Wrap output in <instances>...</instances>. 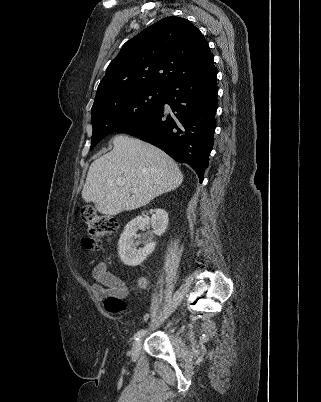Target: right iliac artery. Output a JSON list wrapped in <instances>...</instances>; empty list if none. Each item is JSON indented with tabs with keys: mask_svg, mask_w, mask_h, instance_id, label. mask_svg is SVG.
<instances>
[{
	"mask_svg": "<svg viewBox=\"0 0 321 402\" xmlns=\"http://www.w3.org/2000/svg\"><path fill=\"white\" fill-rule=\"evenodd\" d=\"M146 333V330L142 329L140 331H138L135 335H134V339L138 340L141 336H143Z\"/></svg>",
	"mask_w": 321,
	"mask_h": 402,
	"instance_id": "right-iliac-artery-1",
	"label": "right iliac artery"
}]
</instances>
